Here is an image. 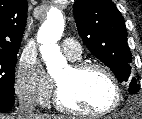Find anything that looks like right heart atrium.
<instances>
[{
  "mask_svg": "<svg viewBox=\"0 0 142 119\" xmlns=\"http://www.w3.org/2000/svg\"><path fill=\"white\" fill-rule=\"evenodd\" d=\"M52 82L46 76L39 61L22 57L15 80V91L22 100L44 105L52 94Z\"/></svg>",
  "mask_w": 142,
  "mask_h": 119,
  "instance_id": "obj_1",
  "label": "right heart atrium"
}]
</instances>
